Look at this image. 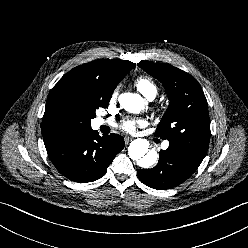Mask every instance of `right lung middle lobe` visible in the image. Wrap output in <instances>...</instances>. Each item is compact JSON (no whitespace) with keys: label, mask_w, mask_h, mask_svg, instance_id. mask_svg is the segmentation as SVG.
<instances>
[{"label":"right lung middle lobe","mask_w":248,"mask_h":248,"mask_svg":"<svg viewBox=\"0 0 248 248\" xmlns=\"http://www.w3.org/2000/svg\"><path fill=\"white\" fill-rule=\"evenodd\" d=\"M111 95H103L93 87H79L47 100L42 127L62 131L91 129L96 110L106 108Z\"/></svg>","instance_id":"1"}]
</instances>
